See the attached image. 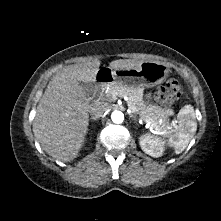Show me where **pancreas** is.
<instances>
[{"label":"pancreas","mask_w":221,"mask_h":221,"mask_svg":"<svg viewBox=\"0 0 221 221\" xmlns=\"http://www.w3.org/2000/svg\"><path fill=\"white\" fill-rule=\"evenodd\" d=\"M106 100L113 101L114 97H127V105L135 114H138L146 122H150L152 127L159 132H166L170 126L165 121L166 112L158 106H147L143 100V90L141 88L130 89L118 83L109 85L105 92ZM162 119V123L159 120Z\"/></svg>","instance_id":"obj_1"}]
</instances>
